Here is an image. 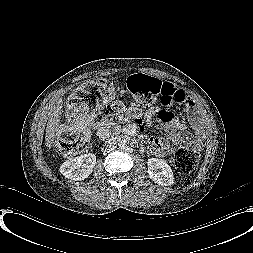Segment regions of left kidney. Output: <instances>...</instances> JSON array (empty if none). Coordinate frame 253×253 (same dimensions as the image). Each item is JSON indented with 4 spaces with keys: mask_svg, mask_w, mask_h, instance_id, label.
I'll use <instances>...</instances> for the list:
<instances>
[{
    "mask_svg": "<svg viewBox=\"0 0 253 253\" xmlns=\"http://www.w3.org/2000/svg\"><path fill=\"white\" fill-rule=\"evenodd\" d=\"M148 174L151 180L162 186H170L174 183L173 172L166 161L158 158H150L147 162Z\"/></svg>",
    "mask_w": 253,
    "mask_h": 253,
    "instance_id": "5707ae66",
    "label": "left kidney"
}]
</instances>
